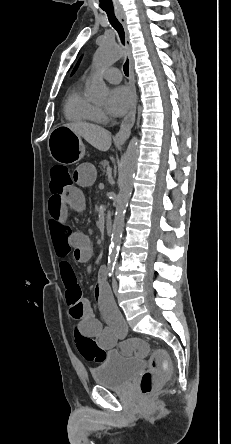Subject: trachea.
<instances>
[{"label": "trachea", "mask_w": 231, "mask_h": 444, "mask_svg": "<svg viewBox=\"0 0 231 444\" xmlns=\"http://www.w3.org/2000/svg\"><path fill=\"white\" fill-rule=\"evenodd\" d=\"M104 11L106 12V14L108 16L109 22L118 32L122 44H124L125 43V31H124L122 24L116 18L114 10H104ZM123 70H124L125 75L128 76L129 75V61L128 60L125 62Z\"/></svg>", "instance_id": "1"}]
</instances>
